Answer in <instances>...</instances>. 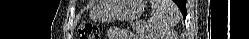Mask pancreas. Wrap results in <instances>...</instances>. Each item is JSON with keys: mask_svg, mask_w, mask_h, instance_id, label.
<instances>
[{"mask_svg": "<svg viewBox=\"0 0 249 39\" xmlns=\"http://www.w3.org/2000/svg\"><path fill=\"white\" fill-rule=\"evenodd\" d=\"M132 26L133 29L136 30L138 34H140V36H146L149 32V30L146 27H143L139 23H134Z\"/></svg>", "mask_w": 249, "mask_h": 39, "instance_id": "1", "label": "pancreas"}]
</instances>
